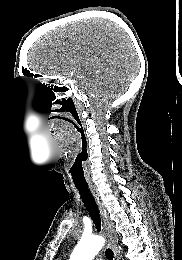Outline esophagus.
Wrapping results in <instances>:
<instances>
[{"mask_svg":"<svg viewBox=\"0 0 182 260\" xmlns=\"http://www.w3.org/2000/svg\"><path fill=\"white\" fill-rule=\"evenodd\" d=\"M91 192L93 194V197L96 201V204L98 206V209H99V212L101 215L103 230L108 239L109 245L113 249L114 258H115V260H119L120 255H119V250L117 247L118 238H117L116 232L114 231L110 221L107 218L105 208H104V205H103L99 192L97 191V189H94V188H91Z\"/></svg>","mask_w":182,"mask_h":260,"instance_id":"obj_1","label":"esophagus"}]
</instances>
